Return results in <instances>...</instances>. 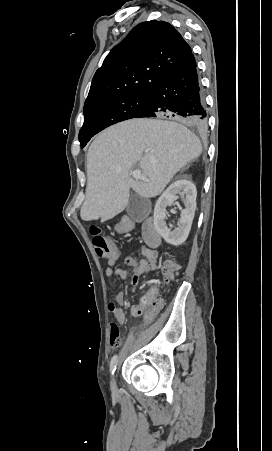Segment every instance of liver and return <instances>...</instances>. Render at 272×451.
<instances>
[{
	"label": "liver",
	"instance_id": "obj_1",
	"mask_svg": "<svg viewBox=\"0 0 272 451\" xmlns=\"http://www.w3.org/2000/svg\"><path fill=\"white\" fill-rule=\"evenodd\" d=\"M202 146L183 124L168 120L134 118L106 128L87 154V190L80 216L85 222L111 220L128 206L130 188L142 198L159 196L173 176ZM138 166L148 182L133 180Z\"/></svg>",
	"mask_w": 272,
	"mask_h": 451
}]
</instances>
